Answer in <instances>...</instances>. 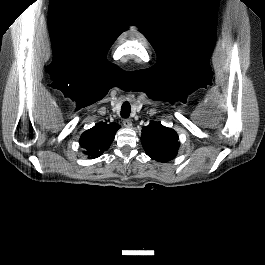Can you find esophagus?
I'll list each match as a JSON object with an SVG mask.
<instances>
[{"label":"esophagus","instance_id":"esophagus-1","mask_svg":"<svg viewBox=\"0 0 265 265\" xmlns=\"http://www.w3.org/2000/svg\"><path fill=\"white\" fill-rule=\"evenodd\" d=\"M123 125L126 127V128H131L132 127V122L130 119H124L123 120Z\"/></svg>","mask_w":265,"mask_h":265}]
</instances>
